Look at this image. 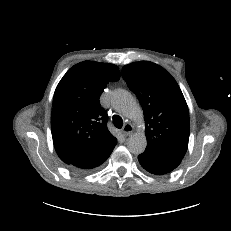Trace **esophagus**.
Segmentation results:
<instances>
[{
    "label": "esophagus",
    "mask_w": 231,
    "mask_h": 231,
    "mask_svg": "<svg viewBox=\"0 0 231 231\" xmlns=\"http://www.w3.org/2000/svg\"><path fill=\"white\" fill-rule=\"evenodd\" d=\"M134 127L131 124H125L122 128V132L125 136H130L134 132Z\"/></svg>",
    "instance_id": "34e87169"
}]
</instances>
